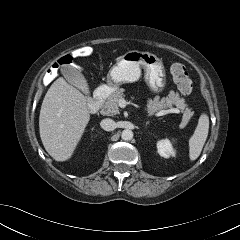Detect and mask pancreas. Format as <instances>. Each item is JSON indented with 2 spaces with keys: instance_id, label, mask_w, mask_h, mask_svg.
<instances>
[{
  "instance_id": "1",
  "label": "pancreas",
  "mask_w": 240,
  "mask_h": 240,
  "mask_svg": "<svg viewBox=\"0 0 240 240\" xmlns=\"http://www.w3.org/2000/svg\"><path fill=\"white\" fill-rule=\"evenodd\" d=\"M123 89H116L102 104V115L113 116L119 114V100L124 98ZM175 105L183 113L182 123H187L193 115V112L185 102L184 98H181L179 93L171 91L168 96L162 100L155 99L154 101H148L146 105V111L148 116L157 115L160 111L167 107Z\"/></svg>"
}]
</instances>
